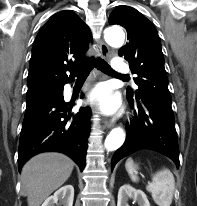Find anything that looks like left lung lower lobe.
<instances>
[{
	"label": "left lung lower lobe",
	"instance_id": "left-lung-lower-lobe-1",
	"mask_svg": "<svg viewBox=\"0 0 197 206\" xmlns=\"http://www.w3.org/2000/svg\"><path fill=\"white\" fill-rule=\"evenodd\" d=\"M130 103H136L139 115L135 113L127 138L111 160L115 164L123 157L140 149H152L172 159L179 167V148L171 104L142 95H126Z\"/></svg>",
	"mask_w": 197,
	"mask_h": 206
}]
</instances>
